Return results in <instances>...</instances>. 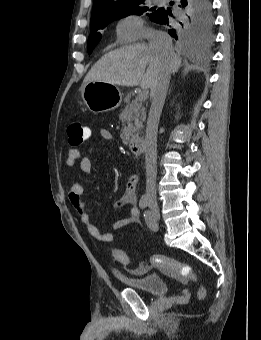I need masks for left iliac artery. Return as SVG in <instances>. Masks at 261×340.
<instances>
[{
    "label": "left iliac artery",
    "instance_id": "obj_1",
    "mask_svg": "<svg viewBox=\"0 0 261 340\" xmlns=\"http://www.w3.org/2000/svg\"><path fill=\"white\" fill-rule=\"evenodd\" d=\"M144 218H145V221L147 223V225L152 228L153 227V218H152V215L150 213V211H145L144 212Z\"/></svg>",
    "mask_w": 261,
    "mask_h": 340
}]
</instances>
